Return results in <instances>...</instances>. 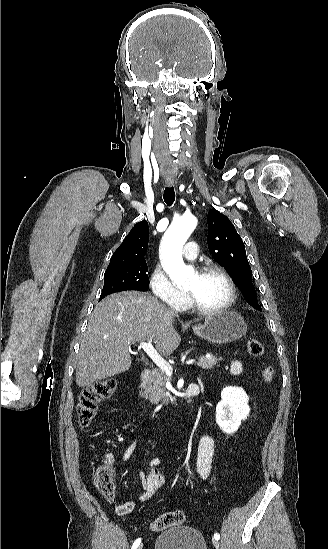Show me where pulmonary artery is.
<instances>
[{"label": "pulmonary artery", "instance_id": "pulmonary-artery-1", "mask_svg": "<svg viewBox=\"0 0 328 549\" xmlns=\"http://www.w3.org/2000/svg\"><path fill=\"white\" fill-rule=\"evenodd\" d=\"M200 253L198 244L196 241H188L187 247L183 252V256L187 260H194Z\"/></svg>", "mask_w": 328, "mask_h": 549}]
</instances>
